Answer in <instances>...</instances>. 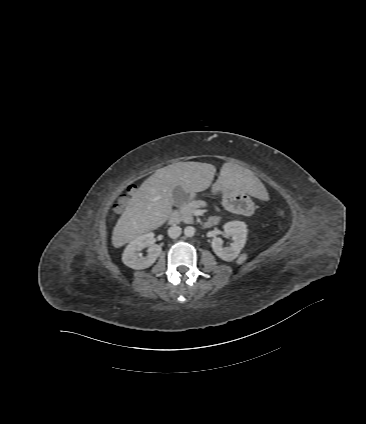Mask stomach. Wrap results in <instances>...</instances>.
I'll list each match as a JSON object with an SVG mask.
<instances>
[{
	"instance_id": "obj_1",
	"label": "stomach",
	"mask_w": 366,
	"mask_h": 424,
	"mask_svg": "<svg viewBox=\"0 0 366 424\" xmlns=\"http://www.w3.org/2000/svg\"><path fill=\"white\" fill-rule=\"evenodd\" d=\"M211 191L213 194L222 193V205L224 208L231 213H238L234 203L238 201H244L247 204L253 205L252 199L247 193H240L236 191L222 190L215 186H212Z\"/></svg>"
}]
</instances>
